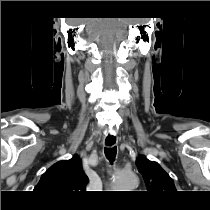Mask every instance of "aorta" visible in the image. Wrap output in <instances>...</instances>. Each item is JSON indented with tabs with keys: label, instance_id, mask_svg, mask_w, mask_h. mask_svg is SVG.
<instances>
[{
	"label": "aorta",
	"instance_id": "aorta-1",
	"mask_svg": "<svg viewBox=\"0 0 210 210\" xmlns=\"http://www.w3.org/2000/svg\"><path fill=\"white\" fill-rule=\"evenodd\" d=\"M113 184L115 189L130 191L131 189H135L137 187L138 178L136 174L132 172L119 170L114 174Z\"/></svg>",
	"mask_w": 210,
	"mask_h": 210
}]
</instances>
